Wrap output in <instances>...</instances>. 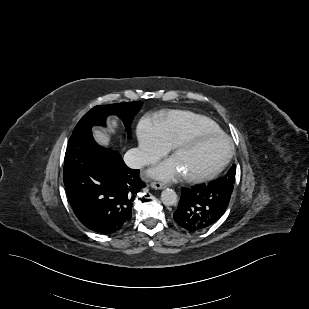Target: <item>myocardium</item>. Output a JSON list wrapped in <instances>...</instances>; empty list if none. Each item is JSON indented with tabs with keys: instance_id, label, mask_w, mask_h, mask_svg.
<instances>
[{
	"instance_id": "myocardium-1",
	"label": "myocardium",
	"mask_w": 309,
	"mask_h": 309,
	"mask_svg": "<svg viewBox=\"0 0 309 309\" xmlns=\"http://www.w3.org/2000/svg\"><path fill=\"white\" fill-rule=\"evenodd\" d=\"M206 137H218L223 138L227 142V153L225 157L222 159V161L219 163V165L211 170L210 172L203 173V174H191L186 175V179L190 182L200 183V182H206L209 181L216 176H218L228 165L230 162L233 153H234V144L231 140V138L225 134L224 132H214V131H205V130H198L194 131L191 134L187 135L186 137L179 140L173 148L174 154L182 149L183 147L189 146L198 140Z\"/></svg>"
}]
</instances>
